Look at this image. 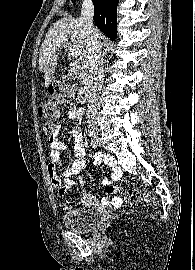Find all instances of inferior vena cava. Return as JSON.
Masks as SVG:
<instances>
[{"label": "inferior vena cava", "mask_w": 195, "mask_h": 270, "mask_svg": "<svg viewBox=\"0 0 195 270\" xmlns=\"http://www.w3.org/2000/svg\"><path fill=\"white\" fill-rule=\"evenodd\" d=\"M93 15L92 0H84L81 8V20L87 34L85 57L90 80V95L86 115L90 130H97L95 117L98 113V97L102 88L104 68L101 57L102 44L97 30L93 26Z\"/></svg>", "instance_id": "inferior-vena-cava-1"}]
</instances>
